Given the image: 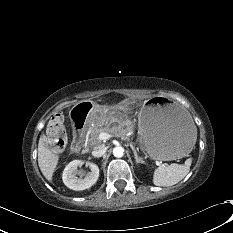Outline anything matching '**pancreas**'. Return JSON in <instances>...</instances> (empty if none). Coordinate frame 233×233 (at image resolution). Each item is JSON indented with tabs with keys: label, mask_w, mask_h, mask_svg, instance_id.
<instances>
[{
	"label": "pancreas",
	"mask_w": 233,
	"mask_h": 233,
	"mask_svg": "<svg viewBox=\"0 0 233 233\" xmlns=\"http://www.w3.org/2000/svg\"><path fill=\"white\" fill-rule=\"evenodd\" d=\"M132 131V127L128 125L126 128L122 126H111V122L103 119L101 122L96 123L93 127H90L88 131V141L91 146H100L102 140L99 138L101 132L110 133L115 137H124L128 132Z\"/></svg>",
	"instance_id": "cf45deb5"
}]
</instances>
